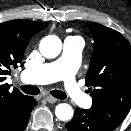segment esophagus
Listing matches in <instances>:
<instances>
[{
    "mask_svg": "<svg viewBox=\"0 0 131 131\" xmlns=\"http://www.w3.org/2000/svg\"><path fill=\"white\" fill-rule=\"evenodd\" d=\"M46 100L48 103H51V104L56 103L58 101V99H56L52 96H46Z\"/></svg>",
    "mask_w": 131,
    "mask_h": 131,
    "instance_id": "34e87169",
    "label": "esophagus"
}]
</instances>
